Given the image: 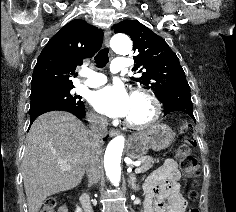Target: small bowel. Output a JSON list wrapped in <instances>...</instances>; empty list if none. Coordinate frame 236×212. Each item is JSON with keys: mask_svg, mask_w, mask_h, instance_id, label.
I'll list each match as a JSON object with an SVG mask.
<instances>
[{"mask_svg": "<svg viewBox=\"0 0 236 212\" xmlns=\"http://www.w3.org/2000/svg\"><path fill=\"white\" fill-rule=\"evenodd\" d=\"M177 164L168 159L146 181L144 212H186V201L179 195ZM59 212H67L63 207Z\"/></svg>", "mask_w": 236, "mask_h": 212, "instance_id": "small-bowel-1", "label": "small bowel"}]
</instances>
